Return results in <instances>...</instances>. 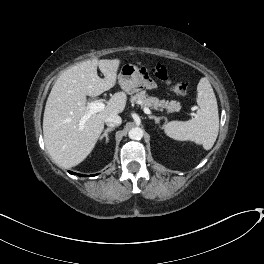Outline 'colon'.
Masks as SVG:
<instances>
[{"instance_id":"obj_1","label":"colon","mask_w":264,"mask_h":264,"mask_svg":"<svg viewBox=\"0 0 264 264\" xmlns=\"http://www.w3.org/2000/svg\"><path fill=\"white\" fill-rule=\"evenodd\" d=\"M154 75L165 82H171L168 76L167 67L164 64L158 63L153 69ZM173 91L179 96H186L188 93V85L184 82H176L172 84Z\"/></svg>"}]
</instances>
